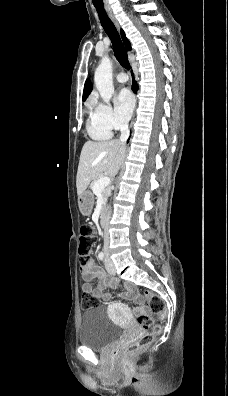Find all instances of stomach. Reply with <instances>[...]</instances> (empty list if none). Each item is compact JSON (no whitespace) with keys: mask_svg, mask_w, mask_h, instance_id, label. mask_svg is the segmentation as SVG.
Here are the masks:
<instances>
[{"mask_svg":"<svg viewBox=\"0 0 228 396\" xmlns=\"http://www.w3.org/2000/svg\"><path fill=\"white\" fill-rule=\"evenodd\" d=\"M78 205L82 215L89 216L94 205V196L91 191L85 190L78 198Z\"/></svg>","mask_w":228,"mask_h":396,"instance_id":"stomach-1","label":"stomach"}]
</instances>
